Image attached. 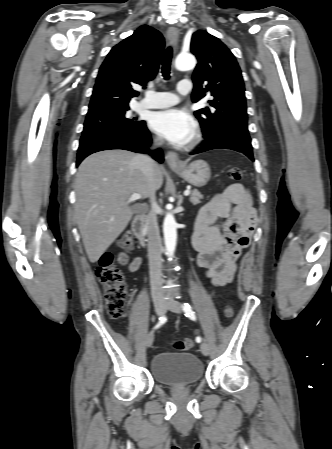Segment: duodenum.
<instances>
[{"mask_svg":"<svg viewBox=\"0 0 332 449\" xmlns=\"http://www.w3.org/2000/svg\"><path fill=\"white\" fill-rule=\"evenodd\" d=\"M145 214L137 215L131 225V231L142 245L146 244L147 236L145 232Z\"/></svg>","mask_w":332,"mask_h":449,"instance_id":"duodenum-1","label":"duodenum"}]
</instances>
